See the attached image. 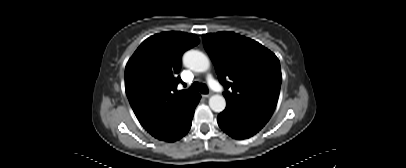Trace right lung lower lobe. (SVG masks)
I'll list each match as a JSON object with an SVG mask.
<instances>
[{
	"instance_id": "98d812e1",
	"label": "right lung lower lobe",
	"mask_w": 406,
	"mask_h": 168,
	"mask_svg": "<svg viewBox=\"0 0 406 168\" xmlns=\"http://www.w3.org/2000/svg\"><path fill=\"white\" fill-rule=\"evenodd\" d=\"M201 96L197 94L191 104L183 113L173 122L168 130L158 139L168 142L177 141L190 130L195 108L200 101Z\"/></svg>"
}]
</instances>
